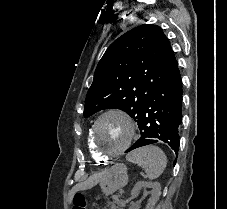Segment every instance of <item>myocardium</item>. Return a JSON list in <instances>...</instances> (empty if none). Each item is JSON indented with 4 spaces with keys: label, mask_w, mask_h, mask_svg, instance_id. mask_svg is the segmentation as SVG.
Returning a JSON list of instances; mask_svg holds the SVG:
<instances>
[{
    "label": "myocardium",
    "mask_w": 227,
    "mask_h": 209,
    "mask_svg": "<svg viewBox=\"0 0 227 209\" xmlns=\"http://www.w3.org/2000/svg\"><path fill=\"white\" fill-rule=\"evenodd\" d=\"M109 114H118L121 117H123L129 123L130 129H131V133H130V137L127 140L126 144L123 145L120 149H118L116 151H113V152L105 153L99 148V146L97 144V141H96V129H97V126H98L99 122L105 116H107ZM136 133H137V128H136L131 116L126 111H124L122 109H118V108H110V109L102 112L94 120V122L91 125V133L90 134H91V142H92L97 154L99 155L100 158L107 160V159L115 158V157L119 156L120 154H122L125 151V149L127 148V146L131 143L132 139L136 136Z\"/></svg>",
    "instance_id": "1"
}]
</instances>
